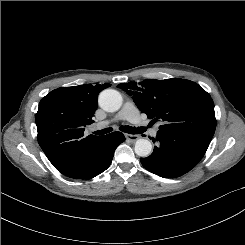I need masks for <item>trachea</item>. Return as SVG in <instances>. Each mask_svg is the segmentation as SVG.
I'll use <instances>...</instances> for the list:
<instances>
[{
	"label": "trachea",
	"instance_id": "3493384b",
	"mask_svg": "<svg viewBox=\"0 0 245 245\" xmlns=\"http://www.w3.org/2000/svg\"><path fill=\"white\" fill-rule=\"evenodd\" d=\"M119 129L128 134H141L146 131L145 127L136 128V127H131V126H121ZM112 130H113L112 128H105L102 130L95 131L93 133L96 135H104V134L110 133Z\"/></svg>",
	"mask_w": 245,
	"mask_h": 245
}]
</instances>
